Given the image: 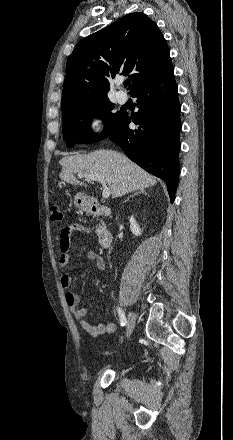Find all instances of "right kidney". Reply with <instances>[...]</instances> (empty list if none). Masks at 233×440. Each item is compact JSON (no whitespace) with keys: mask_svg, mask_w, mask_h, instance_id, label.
<instances>
[{"mask_svg":"<svg viewBox=\"0 0 233 440\" xmlns=\"http://www.w3.org/2000/svg\"><path fill=\"white\" fill-rule=\"evenodd\" d=\"M130 230L135 236H140L142 232L133 216L130 218Z\"/></svg>","mask_w":233,"mask_h":440,"instance_id":"1","label":"right kidney"}]
</instances>
